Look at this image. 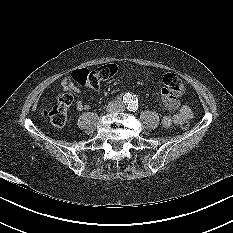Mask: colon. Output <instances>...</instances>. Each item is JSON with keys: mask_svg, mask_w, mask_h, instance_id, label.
<instances>
[{"mask_svg": "<svg viewBox=\"0 0 233 233\" xmlns=\"http://www.w3.org/2000/svg\"><path fill=\"white\" fill-rule=\"evenodd\" d=\"M118 69L115 64H105L95 70L78 69L72 73V79L81 86L96 89L103 81L112 79ZM163 90L174 97L183 95L185 91L182 80L174 73H166L162 78ZM71 97L68 94H62L58 97L57 102L50 108L42 110V115L49 120L55 127H63L68 120V109L71 105ZM181 128H189L187 121L183 122Z\"/></svg>", "mask_w": 233, "mask_h": 233, "instance_id": "5ec220e1", "label": "colon"}]
</instances>
